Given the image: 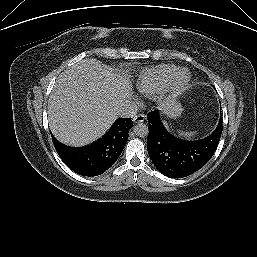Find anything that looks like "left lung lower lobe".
<instances>
[{"instance_id":"0a47b994","label":"left lung lower lobe","mask_w":257,"mask_h":257,"mask_svg":"<svg viewBox=\"0 0 257 257\" xmlns=\"http://www.w3.org/2000/svg\"><path fill=\"white\" fill-rule=\"evenodd\" d=\"M148 154L155 167L170 178H183L202 168L213 156L222 134V117L215 130L199 140H184L168 131L158 110L147 115Z\"/></svg>"}]
</instances>
